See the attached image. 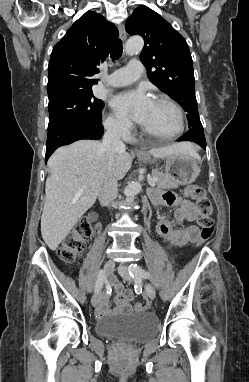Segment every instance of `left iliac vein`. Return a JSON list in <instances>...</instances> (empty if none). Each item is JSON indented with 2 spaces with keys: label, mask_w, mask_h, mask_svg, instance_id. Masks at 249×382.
<instances>
[{
  "label": "left iliac vein",
  "mask_w": 249,
  "mask_h": 382,
  "mask_svg": "<svg viewBox=\"0 0 249 382\" xmlns=\"http://www.w3.org/2000/svg\"><path fill=\"white\" fill-rule=\"evenodd\" d=\"M118 272L120 274V276L125 280V281H128V282H131L132 281V277L131 275L129 274V270H128V267L126 265H120L118 267ZM144 288H145V292H146V295L151 299L153 300L156 296V291H155V288L152 284L150 283H145L144 285Z\"/></svg>",
  "instance_id": "obj_1"
}]
</instances>
